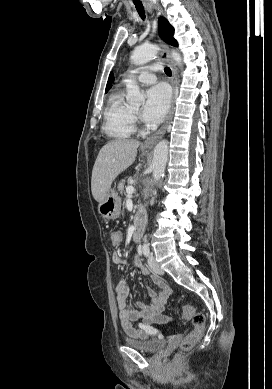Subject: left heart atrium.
<instances>
[{"instance_id": "left-heart-atrium-1", "label": "left heart atrium", "mask_w": 272, "mask_h": 389, "mask_svg": "<svg viewBox=\"0 0 272 389\" xmlns=\"http://www.w3.org/2000/svg\"><path fill=\"white\" fill-rule=\"evenodd\" d=\"M170 106V92L164 85H155L146 93L143 117L151 123L160 122Z\"/></svg>"}]
</instances>
